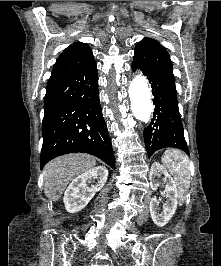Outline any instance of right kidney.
I'll use <instances>...</instances> for the list:
<instances>
[{"label":"right kidney","mask_w":221,"mask_h":266,"mask_svg":"<svg viewBox=\"0 0 221 266\" xmlns=\"http://www.w3.org/2000/svg\"><path fill=\"white\" fill-rule=\"evenodd\" d=\"M108 178L106 167L97 166L74 179L64 193V205L70 213L83 209L96 192L102 189ZM90 185V186H89Z\"/></svg>","instance_id":"1"}]
</instances>
